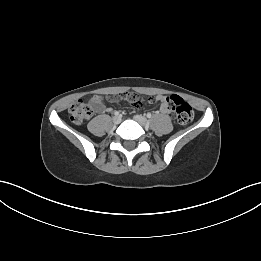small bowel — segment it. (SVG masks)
Instances as JSON below:
<instances>
[{
  "instance_id": "1",
  "label": "small bowel",
  "mask_w": 261,
  "mask_h": 261,
  "mask_svg": "<svg viewBox=\"0 0 261 261\" xmlns=\"http://www.w3.org/2000/svg\"><path fill=\"white\" fill-rule=\"evenodd\" d=\"M162 96H159L158 99L161 102L160 110L164 114H168L167 106L164 101L160 100ZM123 101L130 103L131 106L133 107H138V106H147L148 104H155L156 103V98L155 97H148L147 95H141L139 92H130V91H125L123 94H116L115 97L113 98L112 95H107L106 96V101L107 102H112L114 101ZM89 105L91 109L95 112H105L108 111L105 107L104 104V98L101 95H94L90 98L89 100Z\"/></svg>"
}]
</instances>
